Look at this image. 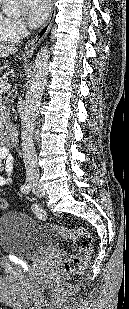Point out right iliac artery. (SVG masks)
I'll use <instances>...</instances> for the list:
<instances>
[{
  "mask_svg": "<svg viewBox=\"0 0 129 309\" xmlns=\"http://www.w3.org/2000/svg\"><path fill=\"white\" fill-rule=\"evenodd\" d=\"M33 172H34L33 167L28 166L27 167V183L21 186V191L23 193H28L30 191L31 181L33 179Z\"/></svg>",
  "mask_w": 129,
  "mask_h": 309,
  "instance_id": "obj_1",
  "label": "right iliac artery"
}]
</instances>
